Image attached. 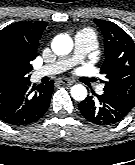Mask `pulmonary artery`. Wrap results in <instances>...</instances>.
<instances>
[{
    "mask_svg": "<svg viewBox=\"0 0 135 165\" xmlns=\"http://www.w3.org/2000/svg\"><path fill=\"white\" fill-rule=\"evenodd\" d=\"M94 46L92 35L88 32H79L75 37L74 52L70 57L60 59L53 64L44 66L36 72V76L40 77L46 74H55L68 70L80 61H82ZM98 92L102 93V87L98 88Z\"/></svg>",
    "mask_w": 135,
    "mask_h": 165,
    "instance_id": "obj_1",
    "label": "pulmonary artery"
}]
</instances>
